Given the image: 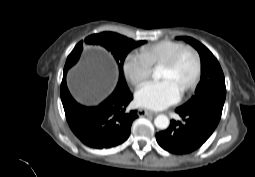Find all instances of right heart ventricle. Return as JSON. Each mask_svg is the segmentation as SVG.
<instances>
[{
  "label": "right heart ventricle",
  "instance_id": "e07e8e85",
  "mask_svg": "<svg viewBox=\"0 0 255 177\" xmlns=\"http://www.w3.org/2000/svg\"><path fill=\"white\" fill-rule=\"evenodd\" d=\"M183 43L172 40H162L142 48V54L152 66L162 65L168 61L180 48Z\"/></svg>",
  "mask_w": 255,
  "mask_h": 177
}]
</instances>
